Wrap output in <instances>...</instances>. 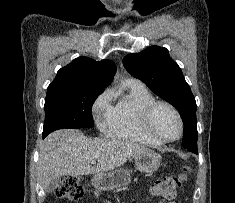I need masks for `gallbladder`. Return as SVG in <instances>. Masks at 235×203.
I'll use <instances>...</instances> for the list:
<instances>
[{
  "mask_svg": "<svg viewBox=\"0 0 235 203\" xmlns=\"http://www.w3.org/2000/svg\"><path fill=\"white\" fill-rule=\"evenodd\" d=\"M60 183H61V180L59 178L55 179L48 185V187L46 188V191L48 193L53 192L59 186Z\"/></svg>",
  "mask_w": 235,
  "mask_h": 203,
  "instance_id": "bac80fb5",
  "label": "gallbladder"
}]
</instances>
